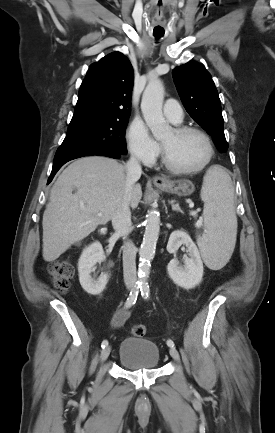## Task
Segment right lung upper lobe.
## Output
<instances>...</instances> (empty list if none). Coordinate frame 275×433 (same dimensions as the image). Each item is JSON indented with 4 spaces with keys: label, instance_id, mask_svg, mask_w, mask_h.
Wrapping results in <instances>:
<instances>
[{
    "label": "right lung upper lobe",
    "instance_id": "cb5924a9",
    "mask_svg": "<svg viewBox=\"0 0 275 433\" xmlns=\"http://www.w3.org/2000/svg\"><path fill=\"white\" fill-rule=\"evenodd\" d=\"M133 79L131 63L120 52L92 64L80 86L72 119L129 118Z\"/></svg>",
    "mask_w": 275,
    "mask_h": 433
}]
</instances>
